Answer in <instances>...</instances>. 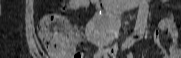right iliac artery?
I'll use <instances>...</instances> for the list:
<instances>
[{
  "mask_svg": "<svg viewBox=\"0 0 181 58\" xmlns=\"http://www.w3.org/2000/svg\"><path fill=\"white\" fill-rule=\"evenodd\" d=\"M135 37H136V34H132L131 36H129L126 39V41L122 44V46H121L122 50H125V49L131 47L136 41Z\"/></svg>",
  "mask_w": 181,
  "mask_h": 58,
  "instance_id": "82829eb1",
  "label": "right iliac artery"
}]
</instances>
